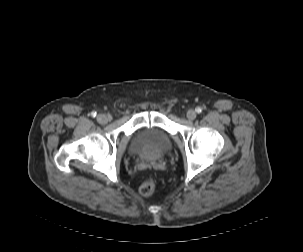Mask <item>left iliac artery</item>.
Returning a JSON list of instances; mask_svg holds the SVG:
<instances>
[{"label": "left iliac artery", "mask_w": 303, "mask_h": 252, "mask_svg": "<svg viewBox=\"0 0 303 252\" xmlns=\"http://www.w3.org/2000/svg\"><path fill=\"white\" fill-rule=\"evenodd\" d=\"M195 110H196L197 113H201L202 112V109L200 107H197Z\"/></svg>", "instance_id": "obj_1"}]
</instances>
